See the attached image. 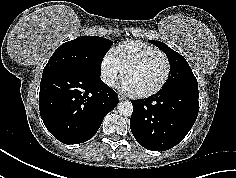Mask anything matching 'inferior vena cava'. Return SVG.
I'll return each mask as SVG.
<instances>
[{
	"label": "inferior vena cava",
	"mask_w": 236,
	"mask_h": 178,
	"mask_svg": "<svg viewBox=\"0 0 236 178\" xmlns=\"http://www.w3.org/2000/svg\"><path fill=\"white\" fill-rule=\"evenodd\" d=\"M102 80L109 86H113L115 82L113 79L109 77H103Z\"/></svg>",
	"instance_id": "inferior-vena-cava-1"
}]
</instances>
